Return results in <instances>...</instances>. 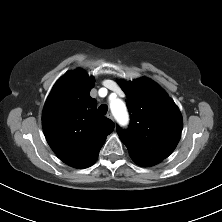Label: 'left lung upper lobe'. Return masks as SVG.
<instances>
[{
  "label": "left lung upper lobe",
  "instance_id": "left-lung-upper-lobe-1",
  "mask_svg": "<svg viewBox=\"0 0 222 222\" xmlns=\"http://www.w3.org/2000/svg\"><path fill=\"white\" fill-rule=\"evenodd\" d=\"M127 97L130 127L117 133L128 148L132 160L141 166H153L168 157L177 146L183 121L181 113L154 81L148 78L120 81Z\"/></svg>",
  "mask_w": 222,
  "mask_h": 222
}]
</instances>
